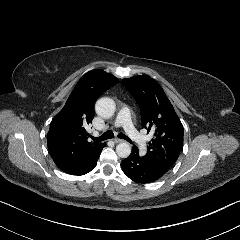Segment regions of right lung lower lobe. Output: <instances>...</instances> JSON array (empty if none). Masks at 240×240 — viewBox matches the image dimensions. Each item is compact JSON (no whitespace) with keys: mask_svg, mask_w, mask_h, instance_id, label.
Here are the masks:
<instances>
[{"mask_svg":"<svg viewBox=\"0 0 240 240\" xmlns=\"http://www.w3.org/2000/svg\"><path fill=\"white\" fill-rule=\"evenodd\" d=\"M98 158L96 160H94L86 169H84L81 172L76 173L74 175H84V174L90 172L96 166Z\"/></svg>","mask_w":240,"mask_h":240,"instance_id":"98d812e1","label":"right lung lower lobe"}]
</instances>
